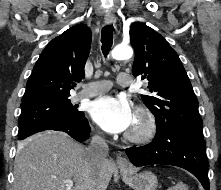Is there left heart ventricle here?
I'll use <instances>...</instances> for the list:
<instances>
[{"mask_svg": "<svg viewBox=\"0 0 221 190\" xmlns=\"http://www.w3.org/2000/svg\"><path fill=\"white\" fill-rule=\"evenodd\" d=\"M134 126H135V120H134V122H133V124H132L131 128H133Z\"/></svg>", "mask_w": 221, "mask_h": 190, "instance_id": "left-heart-ventricle-1", "label": "left heart ventricle"}]
</instances>
